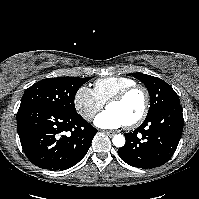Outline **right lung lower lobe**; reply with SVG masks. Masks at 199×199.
I'll list each match as a JSON object with an SVG mask.
<instances>
[{
  "instance_id": "obj_1",
  "label": "right lung lower lobe",
  "mask_w": 199,
  "mask_h": 199,
  "mask_svg": "<svg viewBox=\"0 0 199 199\" xmlns=\"http://www.w3.org/2000/svg\"><path fill=\"white\" fill-rule=\"evenodd\" d=\"M17 129L30 162L49 170H65L77 164L97 133L78 113L64 114L39 105L19 108Z\"/></svg>"
}]
</instances>
